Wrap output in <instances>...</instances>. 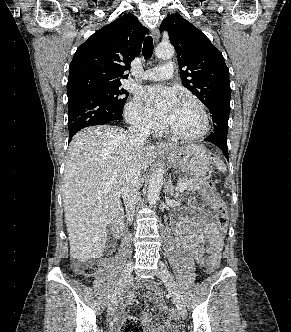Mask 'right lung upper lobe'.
Listing matches in <instances>:
<instances>
[{
	"label": "right lung upper lobe",
	"instance_id": "cb5924a9",
	"mask_svg": "<svg viewBox=\"0 0 291 332\" xmlns=\"http://www.w3.org/2000/svg\"><path fill=\"white\" fill-rule=\"evenodd\" d=\"M148 30L133 14H125L90 36L76 51L68 77V96L96 85L121 84L123 72L140 53Z\"/></svg>",
	"mask_w": 291,
	"mask_h": 332
}]
</instances>
